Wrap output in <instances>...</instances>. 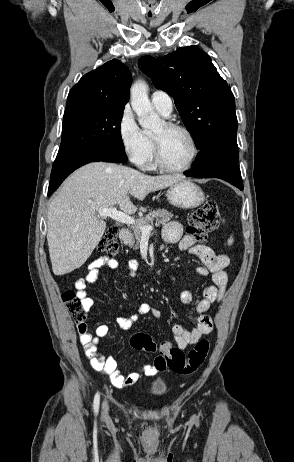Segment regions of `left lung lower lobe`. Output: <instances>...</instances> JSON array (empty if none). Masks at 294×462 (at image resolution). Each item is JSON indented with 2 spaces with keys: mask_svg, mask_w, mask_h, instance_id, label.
Returning <instances> with one entry per match:
<instances>
[{
  "mask_svg": "<svg viewBox=\"0 0 294 462\" xmlns=\"http://www.w3.org/2000/svg\"><path fill=\"white\" fill-rule=\"evenodd\" d=\"M238 157L236 137H229L200 150L192 169L185 174L197 178H220L243 190Z\"/></svg>",
  "mask_w": 294,
  "mask_h": 462,
  "instance_id": "obj_1",
  "label": "left lung lower lobe"
}]
</instances>
